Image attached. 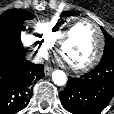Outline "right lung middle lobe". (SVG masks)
Masks as SVG:
<instances>
[{
  "instance_id": "1",
  "label": "right lung middle lobe",
  "mask_w": 114,
  "mask_h": 114,
  "mask_svg": "<svg viewBox=\"0 0 114 114\" xmlns=\"http://www.w3.org/2000/svg\"><path fill=\"white\" fill-rule=\"evenodd\" d=\"M33 15L24 9H10L0 16V46L21 49V25Z\"/></svg>"
}]
</instances>
